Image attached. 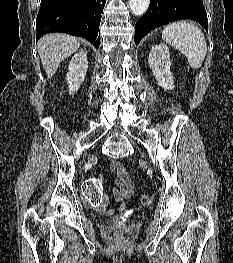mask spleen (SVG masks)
Returning a JSON list of instances; mask_svg holds the SVG:
<instances>
[{"label":"spleen","mask_w":233,"mask_h":263,"mask_svg":"<svg viewBox=\"0 0 233 263\" xmlns=\"http://www.w3.org/2000/svg\"><path fill=\"white\" fill-rule=\"evenodd\" d=\"M162 39L185 55L193 69H199L206 57L207 44L202 30L189 21H178L166 26Z\"/></svg>","instance_id":"3e777b00"}]
</instances>
